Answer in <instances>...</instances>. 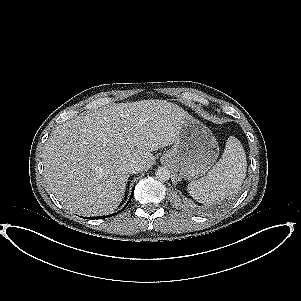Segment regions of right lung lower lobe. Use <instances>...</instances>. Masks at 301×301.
<instances>
[{
	"instance_id": "right-lung-lower-lobe-1",
	"label": "right lung lower lobe",
	"mask_w": 301,
	"mask_h": 301,
	"mask_svg": "<svg viewBox=\"0 0 301 301\" xmlns=\"http://www.w3.org/2000/svg\"><path fill=\"white\" fill-rule=\"evenodd\" d=\"M133 193H134V189H132V194H131V197H130V199H129V202H130V200L132 199ZM129 202L126 204V206L129 204ZM126 206H125V207H126ZM125 207H124V208H125ZM124 208H123V209H124ZM110 216H111V215H110ZM106 217H109V215H108V216H100V217H96V218H97V219H101V218H106ZM92 219H93V218H92Z\"/></svg>"
}]
</instances>
